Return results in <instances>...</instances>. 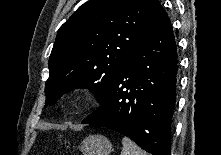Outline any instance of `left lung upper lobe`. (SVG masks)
<instances>
[{"label":"left lung upper lobe","instance_id":"left-lung-upper-lobe-1","mask_svg":"<svg viewBox=\"0 0 221 155\" xmlns=\"http://www.w3.org/2000/svg\"><path fill=\"white\" fill-rule=\"evenodd\" d=\"M162 11L158 0H89L83 4L58 30L49 58L46 106L81 87L102 102Z\"/></svg>","mask_w":221,"mask_h":155}]
</instances>
